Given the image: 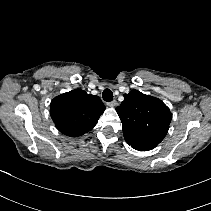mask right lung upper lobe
<instances>
[{"mask_svg":"<svg viewBox=\"0 0 211 211\" xmlns=\"http://www.w3.org/2000/svg\"><path fill=\"white\" fill-rule=\"evenodd\" d=\"M105 106L98 96L75 89L55 97L50 114L56 128L66 136L78 137L97 123Z\"/></svg>","mask_w":211,"mask_h":211,"instance_id":"cb5924a9","label":"right lung upper lobe"}]
</instances>
